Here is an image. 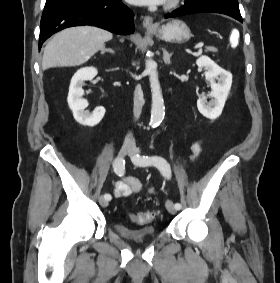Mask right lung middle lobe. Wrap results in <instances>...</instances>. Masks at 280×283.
Segmentation results:
<instances>
[{
	"instance_id": "dd1d6c3e",
	"label": "right lung middle lobe",
	"mask_w": 280,
	"mask_h": 283,
	"mask_svg": "<svg viewBox=\"0 0 280 283\" xmlns=\"http://www.w3.org/2000/svg\"><path fill=\"white\" fill-rule=\"evenodd\" d=\"M62 1H67V0H46L45 7Z\"/></svg>"
}]
</instances>
